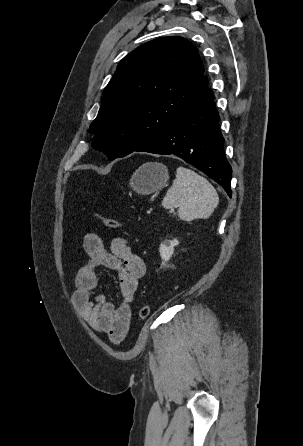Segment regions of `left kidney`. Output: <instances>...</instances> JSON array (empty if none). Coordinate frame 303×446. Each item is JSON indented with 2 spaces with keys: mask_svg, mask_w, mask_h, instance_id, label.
Wrapping results in <instances>:
<instances>
[{
  "mask_svg": "<svg viewBox=\"0 0 303 446\" xmlns=\"http://www.w3.org/2000/svg\"><path fill=\"white\" fill-rule=\"evenodd\" d=\"M178 244H179V241L174 239L172 241H169V244L164 242L160 245L159 252H160V256L163 260L162 265H165V262L170 260V258L172 257V255L174 253V247L177 246Z\"/></svg>",
  "mask_w": 303,
  "mask_h": 446,
  "instance_id": "1",
  "label": "left kidney"
}]
</instances>
